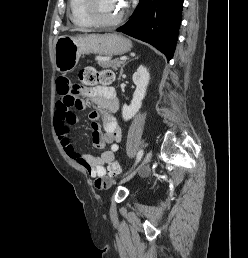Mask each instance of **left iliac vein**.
I'll return each mask as SVG.
<instances>
[{
  "label": "left iliac vein",
  "instance_id": "obj_1",
  "mask_svg": "<svg viewBox=\"0 0 248 258\" xmlns=\"http://www.w3.org/2000/svg\"><path fill=\"white\" fill-rule=\"evenodd\" d=\"M152 156H153L152 152H148V154L144 157L140 166L135 171H133L132 173H130L129 175L124 177L122 180H120L119 184L125 183V182L129 181L131 178H133L138 170L144 168L146 166V164L150 162Z\"/></svg>",
  "mask_w": 248,
  "mask_h": 258
}]
</instances>
